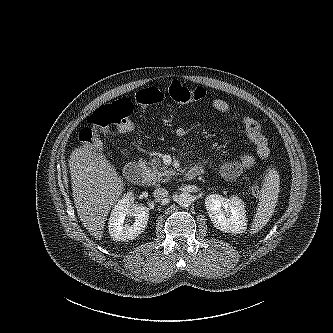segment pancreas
<instances>
[{
    "mask_svg": "<svg viewBox=\"0 0 333 333\" xmlns=\"http://www.w3.org/2000/svg\"><path fill=\"white\" fill-rule=\"evenodd\" d=\"M146 173L151 184L155 185L161 182H167L171 176L174 175V171L165 165L161 164L159 158H152L148 162Z\"/></svg>",
    "mask_w": 333,
    "mask_h": 333,
    "instance_id": "pancreas-1",
    "label": "pancreas"
}]
</instances>
